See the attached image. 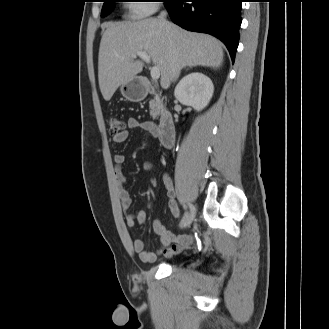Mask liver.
I'll return each instance as SVG.
<instances>
[{
	"mask_svg": "<svg viewBox=\"0 0 329 329\" xmlns=\"http://www.w3.org/2000/svg\"><path fill=\"white\" fill-rule=\"evenodd\" d=\"M138 52L146 53L158 66L161 87L171 83L172 65L177 59L181 68L206 66L214 69L223 63L221 43L209 36L191 33L160 19L108 23L98 56V80L102 96L109 101L119 86L127 83L143 69L134 60Z\"/></svg>",
	"mask_w": 329,
	"mask_h": 329,
	"instance_id": "6515ba94",
	"label": "liver"
}]
</instances>
